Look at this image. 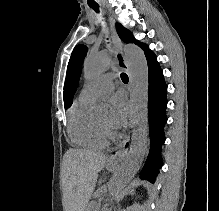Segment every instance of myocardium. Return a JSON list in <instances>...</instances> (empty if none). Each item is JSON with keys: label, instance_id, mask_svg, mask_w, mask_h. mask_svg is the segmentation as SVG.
I'll return each mask as SVG.
<instances>
[{"label": "myocardium", "instance_id": "1", "mask_svg": "<svg viewBox=\"0 0 219 211\" xmlns=\"http://www.w3.org/2000/svg\"><path fill=\"white\" fill-rule=\"evenodd\" d=\"M99 124L103 129H107V127H108L106 123H99Z\"/></svg>", "mask_w": 219, "mask_h": 211}]
</instances>
